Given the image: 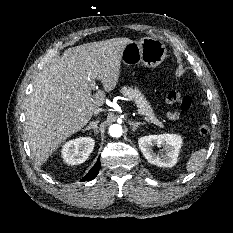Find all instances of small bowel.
Segmentation results:
<instances>
[{"label":"small bowel","mask_w":233,"mask_h":233,"mask_svg":"<svg viewBox=\"0 0 233 233\" xmlns=\"http://www.w3.org/2000/svg\"><path fill=\"white\" fill-rule=\"evenodd\" d=\"M167 116L172 120H176L179 118V113L176 111H170L167 113Z\"/></svg>","instance_id":"obj_1"}]
</instances>
